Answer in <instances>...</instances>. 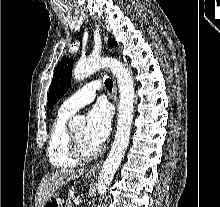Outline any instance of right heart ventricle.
Masks as SVG:
<instances>
[{"mask_svg":"<svg viewBox=\"0 0 220 207\" xmlns=\"http://www.w3.org/2000/svg\"><path fill=\"white\" fill-rule=\"evenodd\" d=\"M71 115L59 111L50 131L47 155L51 165L55 168H70L75 166L76 161L69 153L67 138V121Z\"/></svg>","mask_w":220,"mask_h":207,"instance_id":"1","label":"right heart ventricle"}]
</instances>
